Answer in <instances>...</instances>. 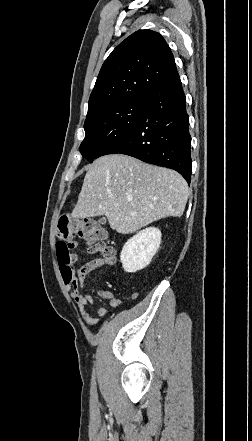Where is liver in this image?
<instances>
[{
  "label": "liver",
  "mask_w": 252,
  "mask_h": 441,
  "mask_svg": "<svg viewBox=\"0 0 252 441\" xmlns=\"http://www.w3.org/2000/svg\"><path fill=\"white\" fill-rule=\"evenodd\" d=\"M188 196L187 182L174 170L128 155H105L89 166L72 217L105 215L111 229L131 234L182 216Z\"/></svg>",
  "instance_id": "1"
}]
</instances>
